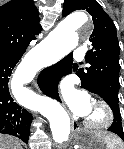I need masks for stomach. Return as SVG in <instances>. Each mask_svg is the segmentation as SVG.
I'll return each mask as SVG.
<instances>
[{
	"mask_svg": "<svg viewBox=\"0 0 124 149\" xmlns=\"http://www.w3.org/2000/svg\"><path fill=\"white\" fill-rule=\"evenodd\" d=\"M106 138L114 140L115 136L107 133H93L86 130H77L74 134V143L81 149H103Z\"/></svg>",
	"mask_w": 124,
	"mask_h": 149,
	"instance_id": "stomach-1",
	"label": "stomach"
}]
</instances>
